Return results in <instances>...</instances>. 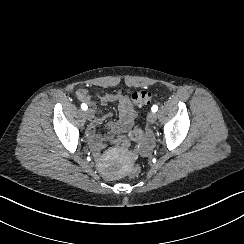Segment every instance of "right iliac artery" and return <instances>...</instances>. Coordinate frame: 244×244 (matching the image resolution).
Instances as JSON below:
<instances>
[{
  "mask_svg": "<svg viewBox=\"0 0 244 244\" xmlns=\"http://www.w3.org/2000/svg\"><path fill=\"white\" fill-rule=\"evenodd\" d=\"M81 108H82L83 110H87V109H88V106H87L85 103H82V104H81Z\"/></svg>",
  "mask_w": 244,
  "mask_h": 244,
  "instance_id": "obj_1",
  "label": "right iliac artery"
}]
</instances>
